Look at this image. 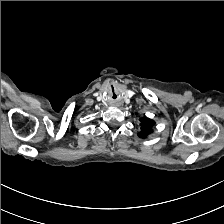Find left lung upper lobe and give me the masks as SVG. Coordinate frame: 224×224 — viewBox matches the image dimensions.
<instances>
[{"mask_svg":"<svg viewBox=\"0 0 224 224\" xmlns=\"http://www.w3.org/2000/svg\"><path fill=\"white\" fill-rule=\"evenodd\" d=\"M142 122V126H141V132H139V136L144 138L146 137L148 134H150L152 132V126L155 124V122L151 119H146V118H143L141 120Z\"/></svg>","mask_w":224,"mask_h":224,"instance_id":"left-lung-upper-lobe-1","label":"left lung upper lobe"}]
</instances>
